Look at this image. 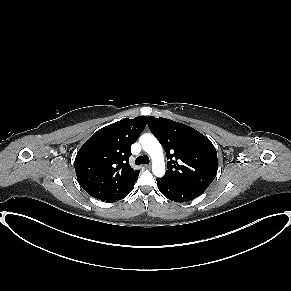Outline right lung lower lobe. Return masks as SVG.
Masks as SVG:
<instances>
[{"mask_svg": "<svg viewBox=\"0 0 291 291\" xmlns=\"http://www.w3.org/2000/svg\"><path fill=\"white\" fill-rule=\"evenodd\" d=\"M133 188H134V184L124 194H122L121 196H119L111 201H118V200L124 198L128 193H130L133 190ZM111 201H109V202H111Z\"/></svg>", "mask_w": 291, "mask_h": 291, "instance_id": "right-lung-lower-lobe-1", "label": "right lung lower lobe"}]
</instances>
